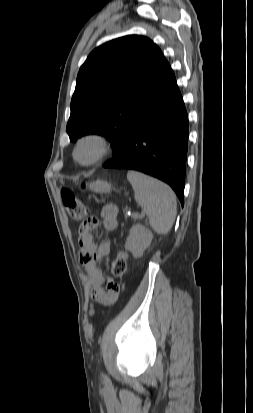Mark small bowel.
<instances>
[{
  "instance_id": "small-bowel-1",
  "label": "small bowel",
  "mask_w": 253,
  "mask_h": 413,
  "mask_svg": "<svg viewBox=\"0 0 253 413\" xmlns=\"http://www.w3.org/2000/svg\"><path fill=\"white\" fill-rule=\"evenodd\" d=\"M102 227L105 231H114L118 224V209L113 204H106L101 211ZM97 226V219L90 218L84 221L78 232V247L80 262L83 264L88 280L92 286L93 298L102 303L104 309H111L117 303L120 296L119 280L115 273H107L105 276L97 266V262L106 258L111 253L109 241L96 244L92 231ZM106 282V283H105Z\"/></svg>"
}]
</instances>
